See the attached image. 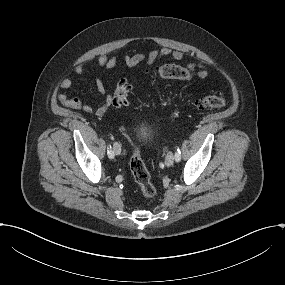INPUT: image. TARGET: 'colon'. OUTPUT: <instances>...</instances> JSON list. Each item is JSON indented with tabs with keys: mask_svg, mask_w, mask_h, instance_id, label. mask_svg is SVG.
Segmentation results:
<instances>
[{
	"mask_svg": "<svg viewBox=\"0 0 285 285\" xmlns=\"http://www.w3.org/2000/svg\"><path fill=\"white\" fill-rule=\"evenodd\" d=\"M156 76L161 79L183 81H190L193 78L189 70L176 64H166L159 67L156 71ZM131 91L132 85L126 80H121L117 84L112 95L113 105L116 107L125 106L129 101ZM227 103L228 100L222 92L211 93L196 101L197 107L202 110H220L223 109ZM122 132L132 147L130 169L134 180L138 184L140 192L145 198H153L156 194V188L152 183L150 173L141 158L140 151L127 132L124 129Z\"/></svg>",
	"mask_w": 285,
	"mask_h": 285,
	"instance_id": "5ec220e1",
	"label": "colon"
}]
</instances>
